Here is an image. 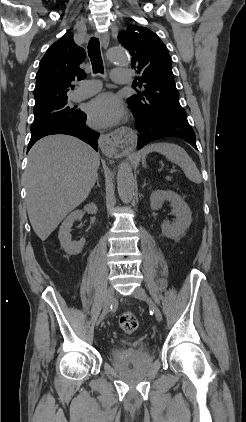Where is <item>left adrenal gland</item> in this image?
<instances>
[{
    "label": "left adrenal gland",
    "instance_id": "obj_1",
    "mask_svg": "<svg viewBox=\"0 0 246 422\" xmlns=\"http://www.w3.org/2000/svg\"><path fill=\"white\" fill-rule=\"evenodd\" d=\"M147 185L146 181L144 180V184L142 186V188H144Z\"/></svg>",
    "mask_w": 246,
    "mask_h": 422
}]
</instances>
